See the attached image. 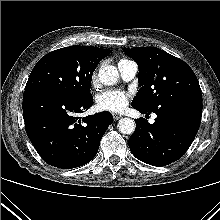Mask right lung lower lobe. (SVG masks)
<instances>
[{
	"label": "right lung lower lobe",
	"instance_id": "1",
	"mask_svg": "<svg viewBox=\"0 0 220 220\" xmlns=\"http://www.w3.org/2000/svg\"><path fill=\"white\" fill-rule=\"evenodd\" d=\"M92 104V95L75 99L46 89L24 91L26 133L45 162L65 169L85 165L95 157L113 117L105 111L76 117Z\"/></svg>",
	"mask_w": 220,
	"mask_h": 220
}]
</instances>
